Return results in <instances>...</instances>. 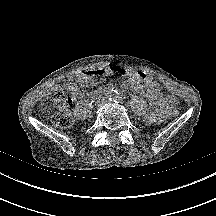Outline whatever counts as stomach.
I'll return each mask as SVG.
<instances>
[{
    "mask_svg": "<svg viewBox=\"0 0 216 216\" xmlns=\"http://www.w3.org/2000/svg\"><path fill=\"white\" fill-rule=\"evenodd\" d=\"M104 70L108 75L120 79L126 78L129 74V71L126 67L121 65H116L112 62L107 63L104 67Z\"/></svg>",
    "mask_w": 216,
    "mask_h": 216,
    "instance_id": "stomach-1",
    "label": "stomach"
}]
</instances>
